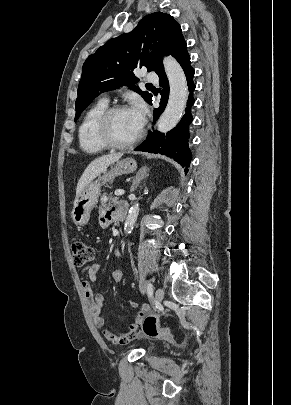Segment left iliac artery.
Here are the masks:
<instances>
[{
  "label": "left iliac artery",
  "mask_w": 291,
  "mask_h": 405,
  "mask_svg": "<svg viewBox=\"0 0 291 405\" xmlns=\"http://www.w3.org/2000/svg\"><path fill=\"white\" fill-rule=\"evenodd\" d=\"M147 293L149 297H152L153 295V285L151 283L148 284L147 286Z\"/></svg>",
  "instance_id": "left-iliac-artery-1"
}]
</instances>
